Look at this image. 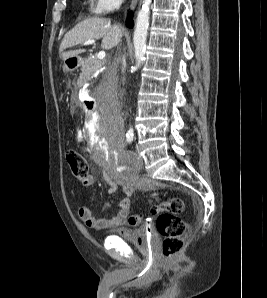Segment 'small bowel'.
I'll use <instances>...</instances> for the list:
<instances>
[{
	"instance_id": "obj_1",
	"label": "small bowel",
	"mask_w": 267,
	"mask_h": 298,
	"mask_svg": "<svg viewBox=\"0 0 267 298\" xmlns=\"http://www.w3.org/2000/svg\"><path fill=\"white\" fill-rule=\"evenodd\" d=\"M104 179L108 184V194L114 195L118 188L121 187L126 197L122 198L118 204V211L115 215L106 218H98L95 216L92 208L88 206H81L78 209V215L81 221L89 228L95 230H104V229H120L121 234H128L129 231L126 228H123V225L126 222L128 214L130 212V196L134 192L135 184L125 178L119 173L105 172ZM94 184V177L89 175V178L86 182L83 183L84 186L90 187ZM149 188H155L156 185L150 181L144 183Z\"/></svg>"
}]
</instances>
